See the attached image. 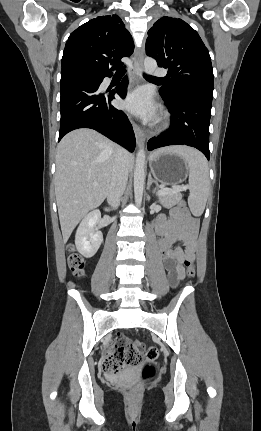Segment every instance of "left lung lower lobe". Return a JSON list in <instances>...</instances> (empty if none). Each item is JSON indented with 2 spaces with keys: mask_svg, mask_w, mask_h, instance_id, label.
I'll return each mask as SVG.
<instances>
[{
  "mask_svg": "<svg viewBox=\"0 0 261 431\" xmlns=\"http://www.w3.org/2000/svg\"><path fill=\"white\" fill-rule=\"evenodd\" d=\"M171 113V126L161 136L148 142V150L169 145H188L200 150L209 160V123L213 96L208 93L183 92L173 99L159 91Z\"/></svg>",
  "mask_w": 261,
  "mask_h": 431,
  "instance_id": "obj_1",
  "label": "left lung lower lobe"
}]
</instances>
